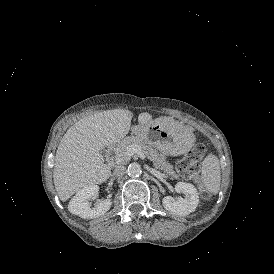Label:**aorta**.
I'll return each instance as SVG.
<instances>
[{
  "mask_svg": "<svg viewBox=\"0 0 274 274\" xmlns=\"http://www.w3.org/2000/svg\"><path fill=\"white\" fill-rule=\"evenodd\" d=\"M127 172H128V175L131 177H138L142 173L140 164H138L136 162L131 163L128 166Z\"/></svg>",
  "mask_w": 274,
  "mask_h": 274,
  "instance_id": "1",
  "label": "aorta"
}]
</instances>
